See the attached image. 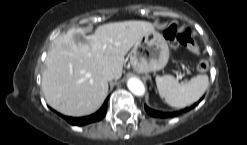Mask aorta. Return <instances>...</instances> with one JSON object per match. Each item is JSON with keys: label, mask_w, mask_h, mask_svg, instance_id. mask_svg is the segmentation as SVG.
I'll return each mask as SVG.
<instances>
[{"label": "aorta", "mask_w": 247, "mask_h": 145, "mask_svg": "<svg viewBox=\"0 0 247 145\" xmlns=\"http://www.w3.org/2000/svg\"><path fill=\"white\" fill-rule=\"evenodd\" d=\"M128 89L136 96H143L145 87L142 81L138 78L132 77L127 82Z\"/></svg>", "instance_id": "obj_1"}]
</instances>
